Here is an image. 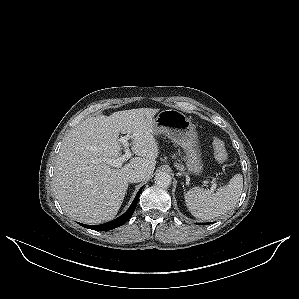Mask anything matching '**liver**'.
Masks as SVG:
<instances>
[{
    "label": "liver",
    "mask_w": 299,
    "mask_h": 299,
    "mask_svg": "<svg viewBox=\"0 0 299 299\" xmlns=\"http://www.w3.org/2000/svg\"><path fill=\"white\" fill-rule=\"evenodd\" d=\"M159 109L139 108L97 115L82 121L64 138L56 159L53 189L63 211L86 224L112 220L118 213L132 170L154 172L158 143L153 117ZM131 136L136 157L121 167L99 160L121 157L119 135Z\"/></svg>",
    "instance_id": "1"
}]
</instances>
